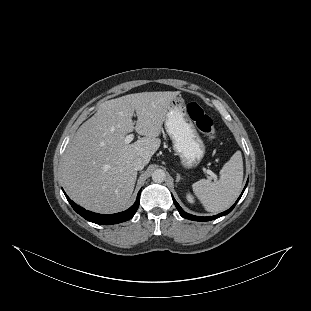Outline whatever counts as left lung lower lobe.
<instances>
[{
	"label": "left lung lower lobe",
	"instance_id": "obj_1",
	"mask_svg": "<svg viewBox=\"0 0 311 311\" xmlns=\"http://www.w3.org/2000/svg\"><path fill=\"white\" fill-rule=\"evenodd\" d=\"M247 184H248V181H247V183H246V185H245V187H244V189H243L241 195L239 196V198L237 199V201L235 202V204H234L230 209H228L227 211L222 212V213H220V214H218V215L211 216V217H199V216H194V215L188 214V213H186V212H184V211L182 210V208L179 206V204L175 201L174 198H173V201H174V204L176 205V207H177V209H178L180 215H181L182 217L186 218V219L194 220V221H209V220H214V219H216V218H218V217H221V216H224V215H226V214H228L229 212L232 211V209L235 207V205L237 204V202H238L239 199L241 198V196H242V194H243V192H244V190H245Z\"/></svg>",
	"mask_w": 311,
	"mask_h": 311
}]
</instances>
